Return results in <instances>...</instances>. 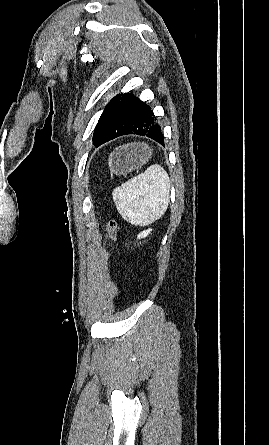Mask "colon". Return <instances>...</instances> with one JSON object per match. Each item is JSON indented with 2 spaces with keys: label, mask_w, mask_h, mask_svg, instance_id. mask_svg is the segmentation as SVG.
<instances>
[{
  "label": "colon",
  "mask_w": 269,
  "mask_h": 445,
  "mask_svg": "<svg viewBox=\"0 0 269 445\" xmlns=\"http://www.w3.org/2000/svg\"><path fill=\"white\" fill-rule=\"evenodd\" d=\"M106 238L109 243H112L116 238L117 223L115 220L110 219L105 224Z\"/></svg>",
  "instance_id": "obj_1"
}]
</instances>
